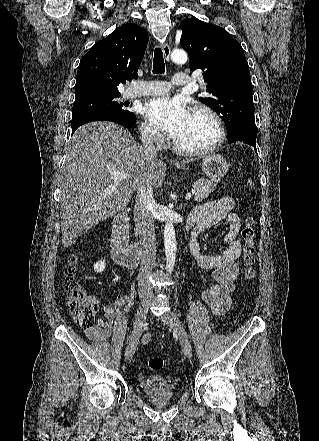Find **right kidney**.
<instances>
[{
    "instance_id": "obj_1",
    "label": "right kidney",
    "mask_w": 319,
    "mask_h": 441,
    "mask_svg": "<svg viewBox=\"0 0 319 441\" xmlns=\"http://www.w3.org/2000/svg\"><path fill=\"white\" fill-rule=\"evenodd\" d=\"M105 269V261L104 260H100L97 263L94 264V270L97 273H101L103 272Z\"/></svg>"
}]
</instances>
